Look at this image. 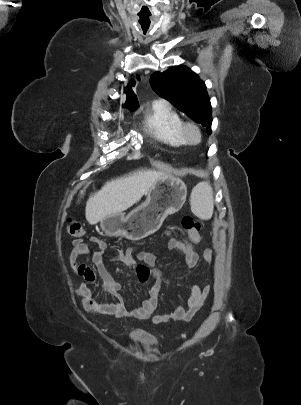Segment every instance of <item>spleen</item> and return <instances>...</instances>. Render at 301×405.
<instances>
[{"label":"spleen","mask_w":301,"mask_h":405,"mask_svg":"<svg viewBox=\"0 0 301 405\" xmlns=\"http://www.w3.org/2000/svg\"><path fill=\"white\" fill-rule=\"evenodd\" d=\"M191 210L203 220H208L213 214V194L212 188L206 182L197 184L191 193Z\"/></svg>","instance_id":"1"}]
</instances>
